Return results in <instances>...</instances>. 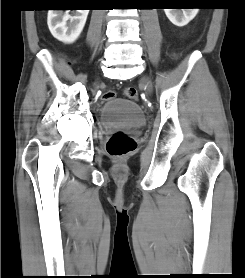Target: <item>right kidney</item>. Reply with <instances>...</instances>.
<instances>
[{
    "label": "right kidney",
    "mask_w": 245,
    "mask_h": 278,
    "mask_svg": "<svg viewBox=\"0 0 245 278\" xmlns=\"http://www.w3.org/2000/svg\"><path fill=\"white\" fill-rule=\"evenodd\" d=\"M66 10H49L47 24L54 38L64 43H73L81 34L89 10H75L69 15Z\"/></svg>",
    "instance_id": "obj_1"
}]
</instances>
